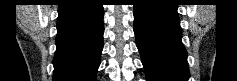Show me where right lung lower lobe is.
<instances>
[{"instance_id":"obj_1","label":"right lung lower lobe","mask_w":237,"mask_h":81,"mask_svg":"<svg viewBox=\"0 0 237 81\" xmlns=\"http://www.w3.org/2000/svg\"><path fill=\"white\" fill-rule=\"evenodd\" d=\"M53 81H96L103 49V6L65 0L58 8Z\"/></svg>"}]
</instances>
